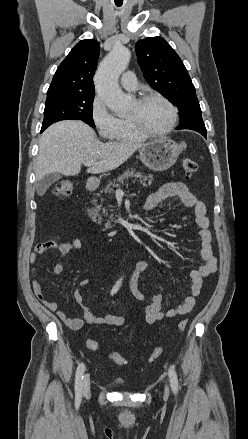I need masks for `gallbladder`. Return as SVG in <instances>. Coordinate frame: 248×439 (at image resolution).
I'll list each match as a JSON object with an SVG mask.
<instances>
[{"label":"gallbladder","instance_id":"obj_1","mask_svg":"<svg viewBox=\"0 0 248 439\" xmlns=\"http://www.w3.org/2000/svg\"><path fill=\"white\" fill-rule=\"evenodd\" d=\"M61 178V175L59 173H50L43 177L41 180L37 182L36 185V191L38 195L42 196L46 190L56 181H58Z\"/></svg>","mask_w":248,"mask_h":439}]
</instances>
